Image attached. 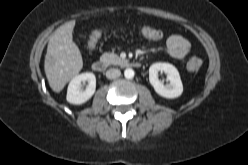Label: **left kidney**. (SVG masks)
<instances>
[{
    "label": "left kidney",
    "instance_id": "obj_1",
    "mask_svg": "<svg viewBox=\"0 0 248 165\" xmlns=\"http://www.w3.org/2000/svg\"><path fill=\"white\" fill-rule=\"evenodd\" d=\"M167 74L169 84L163 85L158 79V72ZM149 81L157 94L162 97L173 99L183 92V85L178 70L169 63H154L149 68Z\"/></svg>",
    "mask_w": 248,
    "mask_h": 165
}]
</instances>
